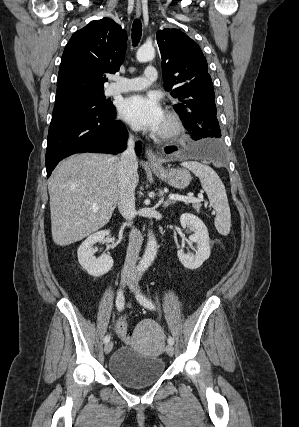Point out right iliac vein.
I'll return each instance as SVG.
<instances>
[{
	"instance_id": "obj_1",
	"label": "right iliac vein",
	"mask_w": 299,
	"mask_h": 427,
	"mask_svg": "<svg viewBox=\"0 0 299 427\" xmlns=\"http://www.w3.org/2000/svg\"><path fill=\"white\" fill-rule=\"evenodd\" d=\"M127 284H128V280L126 279L124 280V285H127ZM112 349H113V342H107L104 346V352L106 354H109L112 351Z\"/></svg>"
}]
</instances>
